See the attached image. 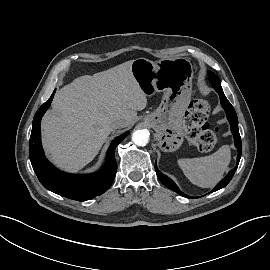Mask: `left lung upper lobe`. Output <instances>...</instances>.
Segmentation results:
<instances>
[{"label": "left lung upper lobe", "mask_w": 270, "mask_h": 270, "mask_svg": "<svg viewBox=\"0 0 270 270\" xmlns=\"http://www.w3.org/2000/svg\"><path fill=\"white\" fill-rule=\"evenodd\" d=\"M209 79H210L213 87L215 88V90L218 93H223V90L221 87V82H220L218 76H216L213 72L209 71Z\"/></svg>", "instance_id": "obj_1"}]
</instances>
